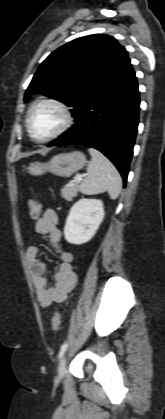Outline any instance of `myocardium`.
Segmentation results:
<instances>
[{
  "mask_svg": "<svg viewBox=\"0 0 165 419\" xmlns=\"http://www.w3.org/2000/svg\"><path fill=\"white\" fill-rule=\"evenodd\" d=\"M43 104L53 105L56 108H58L63 115V122H62L61 126L53 134H51L50 136H48L46 138L39 139L32 132L31 116H32L34 110L38 106L43 105ZM72 122H73V116H72V112H71L70 108L64 102H62L61 100L56 99V98L48 97V98H43V99L37 100L31 105V107H30V109L27 113V116H26V129H27V132H28L29 137L31 138V140L34 141L35 143H40L41 144V143L50 142V141L60 137L62 134H64L71 127Z\"/></svg>",
  "mask_w": 165,
  "mask_h": 419,
  "instance_id": "1",
  "label": "myocardium"
}]
</instances>
